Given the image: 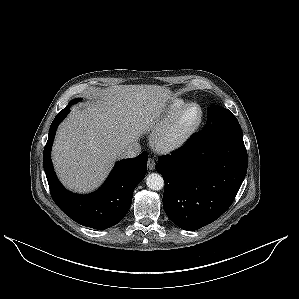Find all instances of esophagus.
<instances>
[{
    "label": "esophagus",
    "instance_id": "esophagus-1",
    "mask_svg": "<svg viewBox=\"0 0 299 299\" xmlns=\"http://www.w3.org/2000/svg\"><path fill=\"white\" fill-rule=\"evenodd\" d=\"M147 164H148L149 170H154L155 169V160L153 158H149Z\"/></svg>",
    "mask_w": 299,
    "mask_h": 299
}]
</instances>
